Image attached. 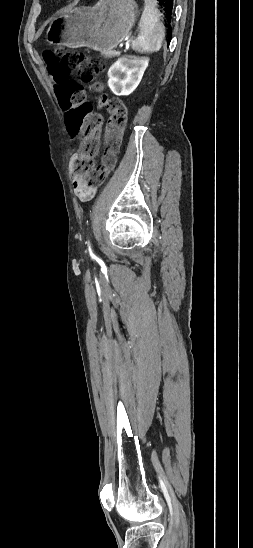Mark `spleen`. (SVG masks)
Wrapping results in <instances>:
<instances>
[{
	"instance_id": "spleen-1",
	"label": "spleen",
	"mask_w": 253,
	"mask_h": 548,
	"mask_svg": "<svg viewBox=\"0 0 253 548\" xmlns=\"http://www.w3.org/2000/svg\"><path fill=\"white\" fill-rule=\"evenodd\" d=\"M145 7L139 22L140 34L132 42V48L139 53H153L160 50L165 28L160 21V11L155 0H144Z\"/></svg>"
}]
</instances>
